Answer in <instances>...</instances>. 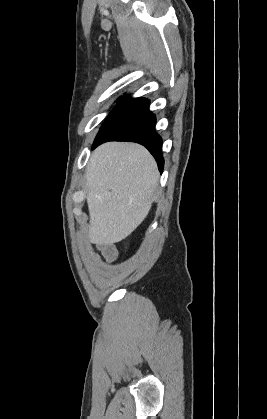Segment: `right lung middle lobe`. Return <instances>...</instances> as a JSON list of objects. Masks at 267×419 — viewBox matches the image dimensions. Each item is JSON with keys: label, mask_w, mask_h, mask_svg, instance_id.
<instances>
[{"label": "right lung middle lobe", "mask_w": 267, "mask_h": 419, "mask_svg": "<svg viewBox=\"0 0 267 419\" xmlns=\"http://www.w3.org/2000/svg\"><path fill=\"white\" fill-rule=\"evenodd\" d=\"M124 99V97H122L119 101L121 102Z\"/></svg>", "instance_id": "right-lung-middle-lobe-1"}]
</instances>
